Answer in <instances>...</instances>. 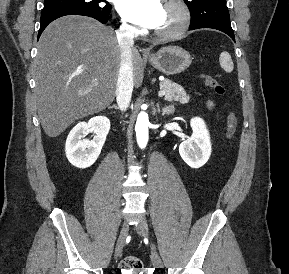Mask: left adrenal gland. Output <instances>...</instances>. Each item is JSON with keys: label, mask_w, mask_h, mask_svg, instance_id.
Listing matches in <instances>:
<instances>
[{"label": "left adrenal gland", "mask_w": 289, "mask_h": 274, "mask_svg": "<svg viewBox=\"0 0 289 274\" xmlns=\"http://www.w3.org/2000/svg\"><path fill=\"white\" fill-rule=\"evenodd\" d=\"M157 108H158V110H160V108H159V104H157ZM173 112V108H172V106H165L163 109H162V115L164 116V115H169V114H171Z\"/></svg>", "instance_id": "obj_1"}]
</instances>
